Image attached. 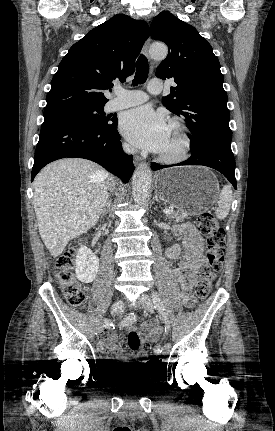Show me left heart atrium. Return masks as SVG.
<instances>
[{"instance_id":"1","label":"left heart atrium","mask_w":275,"mask_h":431,"mask_svg":"<svg viewBox=\"0 0 275 431\" xmlns=\"http://www.w3.org/2000/svg\"><path fill=\"white\" fill-rule=\"evenodd\" d=\"M120 128L133 145L153 152L161 150L168 131L164 116L148 106L127 111Z\"/></svg>"}]
</instances>
